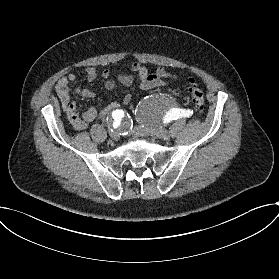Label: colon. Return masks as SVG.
<instances>
[{
    "label": "colon",
    "mask_w": 279,
    "mask_h": 279,
    "mask_svg": "<svg viewBox=\"0 0 279 279\" xmlns=\"http://www.w3.org/2000/svg\"><path fill=\"white\" fill-rule=\"evenodd\" d=\"M188 90L194 106L198 111H202L204 107V94L202 89L194 81H190Z\"/></svg>",
    "instance_id": "1"
}]
</instances>
